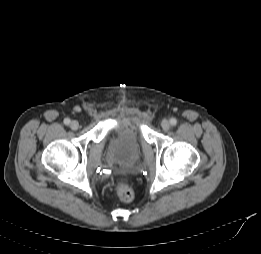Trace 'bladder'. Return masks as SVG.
<instances>
[{
	"label": "bladder",
	"instance_id": "bladder-1",
	"mask_svg": "<svg viewBox=\"0 0 261 254\" xmlns=\"http://www.w3.org/2000/svg\"><path fill=\"white\" fill-rule=\"evenodd\" d=\"M139 155L140 138L134 127L125 126L110 140L108 158L113 165L130 166Z\"/></svg>",
	"mask_w": 261,
	"mask_h": 254
}]
</instances>
